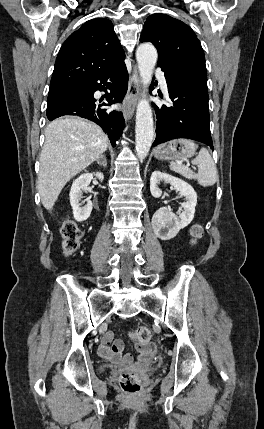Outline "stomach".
<instances>
[{
  "instance_id": "1",
  "label": "stomach",
  "mask_w": 264,
  "mask_h": 429,
  "mask_svg": "<svg viewBox=\"0 0 264 429\" xmlns=\"http://www.w3.org/2000/svg\"><path fill=\"white\" fill-rule=\"evenodd\" d=\"M197 144L188 139H174L155 148L154 156L161 160H183L194 156Z\"/></svg>"
}]
</instances>
